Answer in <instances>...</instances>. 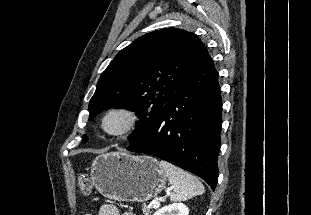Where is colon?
I'll return each mask as SVG.
<instances>
[{
	"instance_id": "colon-1",
	"label": "colon",
	"mask_w": 311,
	"mask_h": 215,
	"mask_svg": "<svg viewBox=\"0 0 311 215\" xmlns=\"http://www.w3.org/2000/svg\"><path fill=\"white\" fill-rule=\"evenodd\" d=\"M78 189L82 195H88L91 192V180L87 174H80L78 176Z\"/></svg>"
}]
</instances>
